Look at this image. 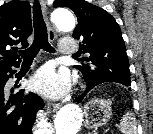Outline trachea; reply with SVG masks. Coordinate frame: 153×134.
Here are the masks:
<instances>
[{"label":"trachea","instance_id":"1","mask_svg":"<svg viewBox=\"0 0 153 134\" xmlns=\"http://www.w3.org/2000/svg\"><path fill=\"white\" fill-rule=\"evenodd\" d=\"M33 22H34V40L32 45L25 50L19 51V55L24 62L32 61L40 49L47 52H55L54 48L48 42L47 27L43 19L41 6L38 0L33 5Z\"/></svg>","mask_w":153,"mask_h":134}]
</instances>
